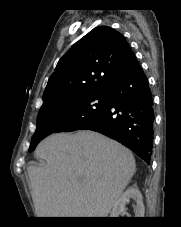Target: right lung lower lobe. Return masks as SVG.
Segmentation results:
<instances>
[{
    "label": "right lung lower lobe",
    "mask_w": 181,
    "mask_h": 227,
    "mask_svg": "<svg viewBox=\"0 0 181 227\" xmlns=\"http://www.w3.org/2000/svg\"><path fill=\"white\" fill-rule=\"evenodd\" d=\"M109 102L82 129L100 132L130 148L148 164L153 142V97L136 57L128 71L108 88Z\"/></svg>",
    "instance_id": "obj_1"
}]
</instances>
